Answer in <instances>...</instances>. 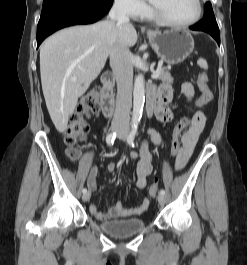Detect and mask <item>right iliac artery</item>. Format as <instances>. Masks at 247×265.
<instances>
[{
    "instance_id": "82829eb1",
    "label": "right iliac artery",
    "mask_w": 247,
    "mask_h": 265,
    "mask_svg": "<svg viewBox=\"0 0 247 265\" xmlns=\"http://www.w3.org/2000/svg\"><path fill=\"white\" fill-rule=\"evenodd\" d=\"M115 138H116V133L115 132L108 134L107 137H106L107 144L108 145H112L114 143ZM82 192L83 193H86L87 192V189L86 188H83L82 189Z\"/></svg>"
}]
</instances>
